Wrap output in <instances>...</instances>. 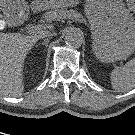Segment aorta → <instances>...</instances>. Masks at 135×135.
Wrapping results in <instances>:
<instances>
[{"instance_id":"1","label":"aorta","mask_w":135,"mask_h":135,"mask_svg":"<svg viewBox=\"0 0 135 135\" xmlns=\"http://www.w3.org/2000/svg\"><path fill=\"white\" fill-rule=\"evenodd\" d=\"M64 39L68 46L77 48L82 45L84 35L80 29L71 27L67 30Z\"/></svg>"}]
</instances>
